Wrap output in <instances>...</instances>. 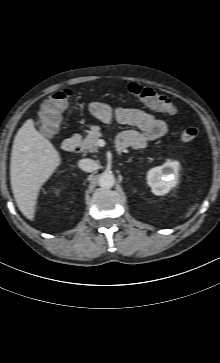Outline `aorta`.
Returning a JSON list of instances; mask_svg holds the SVG:
<instances>
[{"mask_svg":"<svg viewBox=\"0 0 220 363\" xmlns=\"http://www.w3.org/2000/svg\"><path fill=\"white\" fill-rule=\"evenodd\" d=\"M115 178L111 172H103L99 177V186L103 189H110L114 186Z\"/></svg>","mask_w":220,"mask_h":363,"instance_id":"obj_1","label":"aorta"}]
</instances>
